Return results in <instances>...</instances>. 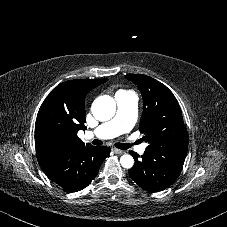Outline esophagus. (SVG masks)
Instances as JSON below:
<instances>
[{"label":"esophagus","instance_id":"esophagus-1","mask_svg":"<svg viewBox=\"0 0 227 227\" xmlns=\"http://www.w3.org/2000/svg\"><path fill=\"white\" fill-rule=\"evenodd\" d=\"M112 151H113L115 154H124V153H125L124 150H121V149H118V148H112Z\"/></svg>","mask_w":227,"mask_h":227}]
</instances>
